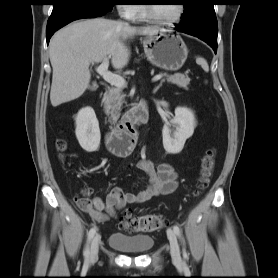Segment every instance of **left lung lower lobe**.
<instances>
[{"label":"left lung lower lobe","mask_w":278,"mask_h":278,"mask_svg":"<svg viewBox=\"0 0 278 278\" xmlns=\"http://www.w3.org/2000/svg\"><path fill=\"white\" fill-rule=\"evenodd\" d=\"M175 29L205 41L216 53L218 30H215L206 19L198 18L190 22L182 23L177 25Z\"/></svg>","instance_id":"1"}]
</instances>
